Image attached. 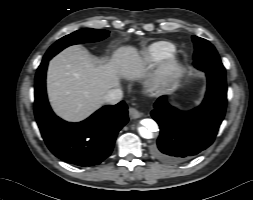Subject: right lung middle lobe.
<instances>
[{
  "label": "right lung middle lobe",
  "instance_id": "right-lung-middle-lobe-1",
  "mask_svg": "<svg viewBox=\"0 0 253 200\" xmlns=\"http://www.w3.org/2000/svg\"><path fill=\"white\" fill-rule=\"evenodd\" d=\"M109 35V32L102 29H81L72 34L64 36L55 42L46 52L44 57H50L56 55L62 49L73 45L85 42H96L105 39Z\"/></svg>",
  "mask_w": 253,
  "mask_h": 200
}]
</instances>
